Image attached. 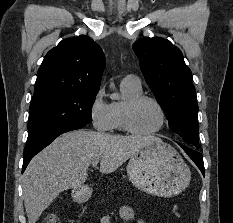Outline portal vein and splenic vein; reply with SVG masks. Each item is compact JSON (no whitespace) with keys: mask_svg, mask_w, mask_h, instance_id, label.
Wrapping results in <instances>:
<instances>
[{"mask_svg":"<svg viewBox=\"0 0 233 223\" xmlns=\"http://www.w3.org/2000/svg\"><path fill=\"white\" fill-rule=\"evenodd\" d=\"M98 163H99L98 159H94V161H92V167H96Z\"/></svg>","mask_w":233,"mask_h":223,"instance_id":"obj_1","label":"portal vein and splenic vein"}]
</instances>
